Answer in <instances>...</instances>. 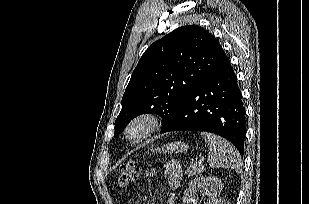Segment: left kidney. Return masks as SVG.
<instances>
[{
  "instance_id": "1",
  "label": "left kidney",
  "mask_w": 309,
  "mask_h": 204,
  "mask_svg": "<svg viewBox=\"0 0 309 204\" xmlns=\"http://www.w3.org/2000/svg\"><path fill=\"white\" fill-rule=\"evenodd\" d=\"M222 182L217 177H197L191 181L183 195V204H190L195 200L199 190L207 192L208 200L204 204H220Z\"/></svg>"
}]
</instances>
